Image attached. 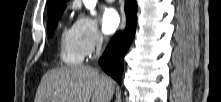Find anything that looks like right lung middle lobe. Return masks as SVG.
<instances>
[{"label":"right lung middle lobe","instance_id":"right-lung-middle-lobe-1","mask_svg":"<svg viewBox=\"0 0 221 102\" xmlns=\"http://www.w3.org/2000/svg\"><path fill=\"white\" fill-rule=\"evenodd\" d=\"M64 9L56 12L50 18H48L49 20H48V23H47V31H48L49 37H53L54 30L57 26L58 20L60 19Z\"/></svg>","mask_w":221,"mask_h":102}]
</instances>
